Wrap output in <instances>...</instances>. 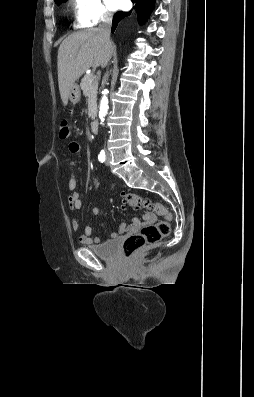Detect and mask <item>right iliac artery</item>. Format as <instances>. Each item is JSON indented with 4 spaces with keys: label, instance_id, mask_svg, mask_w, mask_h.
<instances>
[{
    "label": "right iliac artery",
    "instance_id": "82829eb1",
    "mask_svg": "<svg viewBox=\"0 0 254 397\" xmlns=\"http://www.w3.org/2000/svg\"><path fill=\"white\" fill-rule=\"evenodd\" d=\"M98 159H99V161L102 162V163L105 161L106 155H105L104 150H102V151L100 152V154H99V156H98Z\"/></svg>",
    "mask_w": 254,
    "mask_h": 397
}]
</instances>
